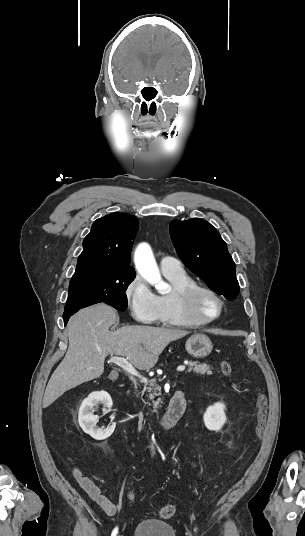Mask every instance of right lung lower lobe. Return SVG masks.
Here are the masks:
<instances>
[{"instance_id": "obj_1", "label": "right lung lower lobe", "mask_w": 305, "mask_h": 536, "mask_svg": "<svg viewBox=\"0 0 305 536\" xmlns=\"http://www.w3.org/2000/svg\"><path fill=\"white\" fill-rule=\"evenodd\" d=\"M78 310L80 309H75V310H68V311H65L64 314H63V319H64V323L65 325L67 324L68 322V319L70 318V316H72L74 313H76Z\"/></svg>"}]
</instances>
